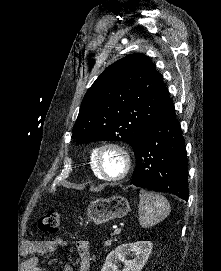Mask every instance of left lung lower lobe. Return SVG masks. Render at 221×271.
Here are the masks:
<instances>
[{
	"instance_id": "1",
	"label": "left lung lower lobe",
	"mask_w": 221,
	"mask_h": 271,
	"mask_svg": "<svg viewBox=\"0 0 221 271\" xmlns=\"http://www.w3.org/2000/svg\"><path fill=\"white\" fill-rule=\"evenodd\" d=\"M132 148L136 167L130 184L188 200V160L174 106L143 129Z\"/></svg>"
}]
</instances>
